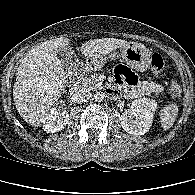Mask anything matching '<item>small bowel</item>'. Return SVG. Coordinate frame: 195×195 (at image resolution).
Masks as SVG:
<instances>
[{
	"instance_id": "small-bowel-1",
	"label": "small bowel",
	"mask_w": 195,
	"mask_h": 195,
	"mask_svg": "<svg viewBox=\"0 0 195 195\" xmlns=\"http://www.w3.org/2000/svg\"><path fill=\"white\" fill-rule=\"evenodd\" d=\"M123 91L128 97H139L148 94H159L163 91L160 84L151 81H140L128 67L120 65L115 69V85L110 92Z\"/></svg>"
}]
</instances>
